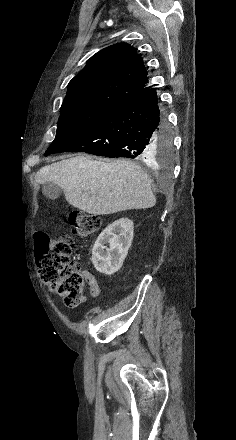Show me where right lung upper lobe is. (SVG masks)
Wrapping results in <instances>:
<instances>
[{"label": "right lung upper lobe", "mask_w": 236, "mask_h": 440, "mask_svg": "<svg viewBox=\"0 0 236 440\" xmlns=\"http://www.w3.org/2000/svg\"><path fill=\"white\" fill-rule=\"evenodd\" d=\"M143 59L128 43H117L93 55L68 84L64 103L94 102L118 106L149 89Z\"/></svg>", "instance_id": "obj_1"}]
</instances>
